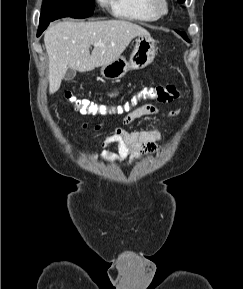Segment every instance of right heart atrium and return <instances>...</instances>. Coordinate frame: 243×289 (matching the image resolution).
<instances>
[{"instance_id":"obj_1","label":"right heart atrium","mask_w":243,"mask_h":289,"mask_svg":"<svg viewBox=\"0 0 243 289\" xmlns=\"http://www.w3.org/2000/svg\"><path fill=\"white\" fill-rule=\"evenodd\" d=\"M97 1H98V3H99L100 5L106 6L107 4H109V1H110V0H97Z\"/></svg>"}]
</instances>
